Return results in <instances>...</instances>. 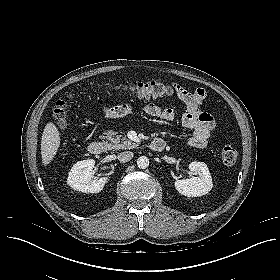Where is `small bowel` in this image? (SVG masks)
Returning <instances> with one entry per match:
<instances>
[{
  "label": "small bowel",
  "instance_id": "small-bowel-1",
  "mask_svg": "<svg viewBox=\"0 0 280 280\" xmlns=\"http://www.w3.org/2000/svg\"><path fill=\"white\" fill-rule=\"evenodd\" d=\"M174 90L176 96L185 104L182 126L191 131L189 144L197 148L206 147L216 128V121L211 114L202 110V105L206 98L205 90L198 88L189 91L179 85H174ZM143 112L165 122L173 121L175 118L173 109L154 103L145 105ZM104 113L110 118H119L126 115L123 111V105L106 107Z\"/></svg>",
  "mask_w": 280,
  "mask_h": 280
}]
</instances>
